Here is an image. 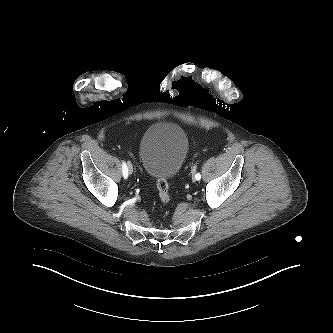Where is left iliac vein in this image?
<instances>
[{
    "mask_svg": "<svg viewBox=\"0 0 333 333\" xmlns=\"http://www.w3.org/2000/svg\"><path fill=\"white\" fill-rule=\"evenodd\" d=\"M192 180H193V182H195V181H196V178H195V176H193V177H192Z\"/></svg>",
    "mask_w": 333,
    "mask_h": 333,
    "instance_id": "1",
    "label": "left iliac vein"
}]
</instances>
